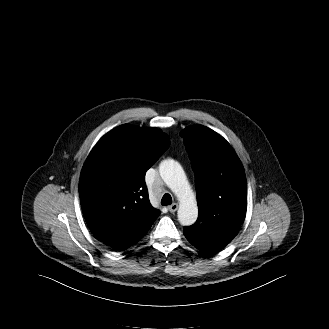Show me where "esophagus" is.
<instances>
[{"label": "esophagus", "mask_w": 329, "mask_h": 329, "mask_svg": "<svg viewBox=\"0 0 329 329\" xmlns=\"http://www.w3.org/2000/svg\"><path fill=\"white\" fill-rule=\"evenodd\" d=\"M177 209H178V204H177V203H173L172 205L168 206V210H169L171 213L176 212Z\"/></svg>", "instance_id": "obj_1"}]
</instances>
